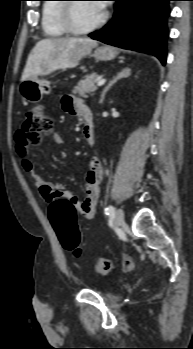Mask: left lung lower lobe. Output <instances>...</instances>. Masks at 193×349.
<instances>
[{
	"instance_id": "1",
	"label": "left lung lower lobe",
	"mask_w": 193,
	"mask_h": 349,
	"mask_svg": "<svg viewBox=\"0 0 193 349\" xmlns=\"http://www.w3.org/2000/svg\"><path fill=\"white\" fill-rule=\"evenodd\" d=\"M112 21L89 36L103 43L155 55L166 62V26L171 0H114Z\"/></svg>"
}]
</instances>
